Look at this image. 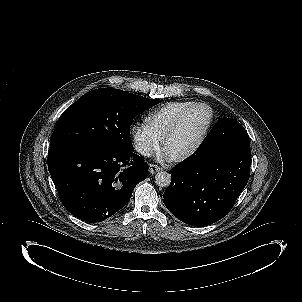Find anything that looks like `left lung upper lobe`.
<instances>
[{
    "mask_svg": "<svg viewBox=\"0 0 302 302\" xmlns=\"http://www.w3.org/2000/svg\"><path fill=\"white\" fill-rule=\"evenodd\" d=\"M217 146L215 152L223 155L237 154L242 148H249V136L245 128L231 118L220 119L202 142L198 152ZM197 152V153H198Z\"/></svg>",
    "mask_w": 302,
    "mask_h": 302,
    "instance_id": "obj_1",
    "label": "left lung upper lobe"
}]
</instances>
